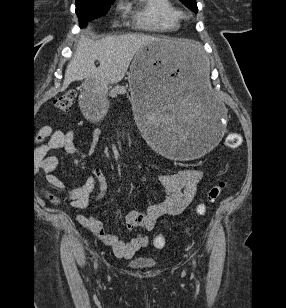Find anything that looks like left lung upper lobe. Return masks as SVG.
<instances>
[{"label": "left lung upper lobe", "mask_w": 286, "mask_h": 308, "mask_svg": "<svg viewBox=\"0 0 286 308\" xmlns=\"http://www.w3.org/2000/svg\"><path fill=\"white\" fill-rule=\"evenodd\" d=\"M180 1L184 3L192 11L198 12L197 3L195 0H180Z\"/></svg>", "instance_id": "left-lung-upper-lobe-1"}]
</instances>
